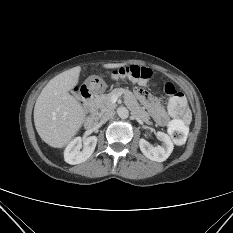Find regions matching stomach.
Segmentation results:
<instances>
[{"mask_svg":"<svg viewBox=\"0 0 233 233\" xmlns=\"http://www.w3.org/2000/svg\"><path fill=\"white\" fill-rule=\"evenodd\" d=\"M87 86L95 93H99L105 90L106 84L99 76H90L86 80Z\"/></svg>","mask_w":233,"mask_h":233,"instance_id":"0dacf381","label":"stomach"}]
</instances>
